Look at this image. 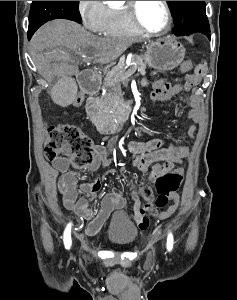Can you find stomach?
<instances>
[{
  "instance_id": "stomach-1",
  "label": "stomach",
  "mask_w": 237,
  "mask_h": 300,
  "mask_svg": "<svg viewBox=\"0 0 237 300\" xmlns=\"http://www.w3.org/2000/svg\"><path fill=\"white\" fill-rule=\"evenodd\" d=\"M185 55V47L181 43L172 37H164L148 45L143 59L156 71H172L184 61Z\"/></svg>"
}]
</instances>
